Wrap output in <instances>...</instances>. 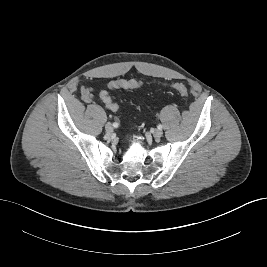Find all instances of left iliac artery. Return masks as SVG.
Segmentation results:
<instances>
[{
  "label": "left iliac artery",
  "mask_w": 267,
  "mask_h": 267,
  "mask_svg": "<svg viewBox=\"0 0 267 267\" xmlns=\"http://www.w3.org/2000/svg\"><path fill=\"white\" fill-rule=\"evenodd\" d=\"M157 127H158V129H160V130L163 128V126H162L161 124H159Z\"/></svg>",
  "instance_id": "1"
}]
</instances>
